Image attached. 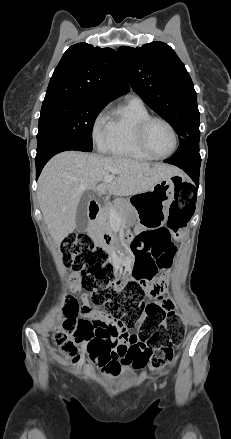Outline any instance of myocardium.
<instances>
[{"label":"myocardium","mask_w":231,"mask_h":439,"mask_svg":"<svg viewBox=\"0 0 231 439\" xmlns=\"http://www.w3.org/2000/svg\"><path fill=\"white\" fill-rule=\"evenodd\" d=\"M153 122H162L164 123L171 131L172 136H173V147L170 150V152H168L165 155H157L155 154L149 147L148 143H147V132L148 129L150 127V125ZM137 141L138 144L140 146V148L147 154L149 155L152 159H166L169 158L170 156H172L175 151L177 150L178 147V133L175 129V127L173 126V124L167 120L166 118L160 117V116H149L148 118H146L145 120H143L141 122V124L138 127L137 130Z\"/></svg>","instance_id":"obj_1"}]
</instances>
